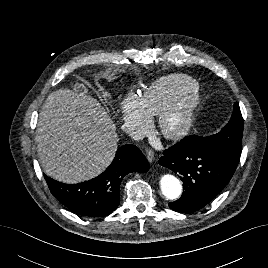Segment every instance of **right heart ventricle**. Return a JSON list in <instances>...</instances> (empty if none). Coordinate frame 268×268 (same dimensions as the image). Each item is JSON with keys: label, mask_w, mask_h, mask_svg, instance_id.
<instances>
[{"label": "right heart ventricle", "mask_w": 268, "mask_h": 268, "mask_svg": "<svg viewBox=\"0 0 268 268\" xmlns=\"http://www.w3.org/2000/svg\"><path fill=\"white\" fill-rule=\"evenodd\" d=\"M198 83L185 74H169L144 86L142 99L152 115H159L178 94Z\"/></svg>", "instance_id": "right-heart-ventricle-1"}]
</instances>
